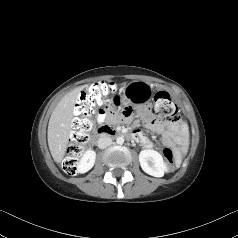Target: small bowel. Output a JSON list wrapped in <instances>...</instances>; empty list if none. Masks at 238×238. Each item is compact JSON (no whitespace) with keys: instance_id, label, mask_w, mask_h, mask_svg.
<instances>
[{"instance_id":"small-bowel-1","label":"small bowel","mask_w":238,"mask_h":238,"mask_svg":"<svg viewBox=\"0 0 238 238\" xmlns=\"http://www.w3.org/2000/svg\"><path fill=\"white\" fill-rule=\"evenodd\" d=\"M153 112V107L150 104H145L140 114L145 119L146 125L152 131L162 134V143L166 148H175L183 150L187 146L188 138L184 125L177 119L169 123L160 121L157 115L149 116ZM108 116L107 112H101L98 115V122H103ZM137 141L140 142L145 148H152L153 142L143 133L136 131Z\"/></svg>"}]
</instances>
